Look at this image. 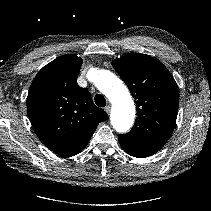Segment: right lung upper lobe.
Returning <instances> with one entry per match:
<instances>
[{
	"label": "right lung upper lobe",
	"mask_w": 211,
	"mask_h": 211,
	"mask_svg": "<svg viewBox=\"0 0 211 211\" xmlns=\"http://www.w3.org/2000/svg\"><path fill=\"white\" fill-rule=\"evenodd\" d=\"M82 59L63 55L42 68L32 82L27 110L40 141L64 157L80 153L107 113L77 84Z\"/></svg>",
	"instance_id": "right-lung-upper-lobe-1"
}]
</instances>
